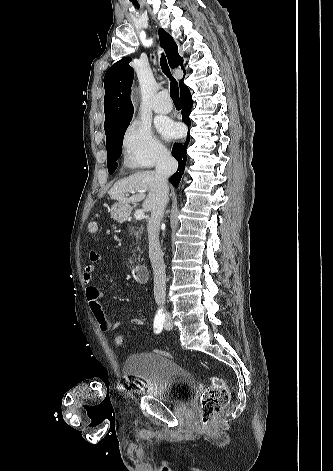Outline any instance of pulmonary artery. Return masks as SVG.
I'll use <instances>...</instances> for the list:
<instances>
[{"label": "pulmonary artery", "mask_w": 333, "mask_h": 471, "mask_svg": "<svg viewBox=\"0 0 333 471\" xmlns=\"http://www.w3.org/2000/svg\"><path fill=\"white\" fill-rule=\"evenodd\" d=\"M173 109V105L165 92L158 93L153 101V110L156 113L166 114Z\"/></svg>", "instance_id": "1"}]
</instances>
